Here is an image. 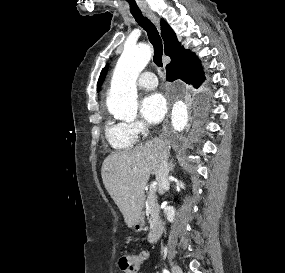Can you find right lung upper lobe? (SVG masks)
Returning <instances> with one entry per match:
<instances>
[{
	"mask_svg": "<svg viewBox=\"0 0 285 273\" xmlns=\"http://www.w3.org/2000/svg\"><path fill=\"white\" fill-rule=\"evenodd\" d=\"M161 35L164 40L165 54L171 58L167 66L178 64L193 55L180 45L175 32L165 20H161Z\"/></svg>",
	"mask_w": 285,
	"mask_h": 273,
	"instance_id": "1",
	"label": "right lung upper lobe"
}]
</instances>
